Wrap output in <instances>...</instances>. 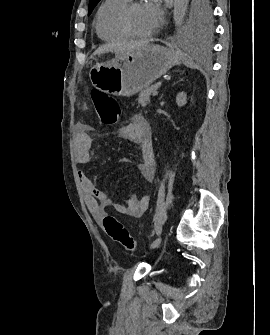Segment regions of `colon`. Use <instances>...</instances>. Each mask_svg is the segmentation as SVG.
Wrapping results in <instances>:
<instances>
[{
	"label": "colon",
	"instance_id": "colon-1",
	"mask_svg": "<svg viewBox=\"0 0 270 335\" xmlns=\"http://www.w3.org/2000/svg\"><path fill=\"white\" fill-rule=\"evenodd\" d=\"M90 98L94 105L95 112L104 125L110 126L118 121L120 109L118 107V102L114 97L102 90L91 89ZM103 224L105 231L111 240L118 243L128 252H137V244L130 235L128 229L117 216L107 214L103 219Z\"/></svg>",
	"mask_w": 270,
	"mask_h": 335
}]
</instances>
